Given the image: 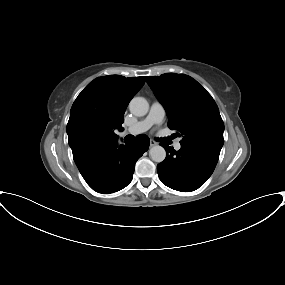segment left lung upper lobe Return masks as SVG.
Returning a JSON list of instances; mask_svg holds the SVG:
<instances>
[{"label": "left lung upper lobe", "mask_w": 285, "mask_h": 285, "mask_svg": "<svg viewBox=\"0 0 285 285\" xmlns=\"http://www.w3.org/2000/svg\"><path fill=\"white\" fill-rule=\"evenodd\" d=\"M146 79L167 112L168 127L182 136L181 145L220 153L224 124L218 106L204 87L183 74L166 73Z\"/></svg>", "instance_id": "obj_1"}]
</instances>
